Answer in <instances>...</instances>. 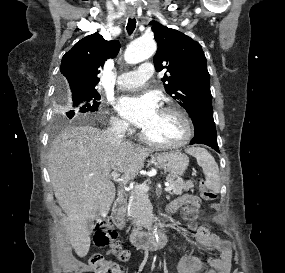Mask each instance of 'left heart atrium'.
I'll return each instance as SVG.
<instances>
[{"mask_svg":"<svg viewBox=\"0 0 285 273\" xmlns=\"http://www.w3.org/2000/svg\"><path fill=\"white\" fill-rule=\"evenodd\" d=\"M115 107L123 118L140 129L149 126L160 112L158 101L151 94L122 96Z\"/></svg>","mask_w":285,"mask_h":273,"instance_id":"1","label":"left heart atrium"}]
</instances>
